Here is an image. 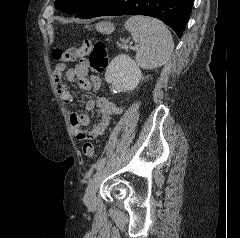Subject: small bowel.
I'll return each instance as SVG.
<instances>
[{
	"mask_svg": "<svg viewBox=\"0 0 240 238\" xmlns=\"http://www.w3.org/2000/svg\"><path fill=\"white\" fill-rule=\"evenodd\" d=\"M89 62L87 59H81L74 67H68L60 63L54 70V81L58 95L62 102L70 108L75 107V98L69 91L65 80L74 83L78 82L81 89L89 91L98 90L101 87V79L98 76H88ZM97 107L101 114V120L98 123L91 124L90 117L87 114H79L75 111L70 113V124L74 137L82 140L85 137L96 138L104 134L106 128L111 123L114 116L122 113V108L117 106L107 97H98L97 99H88L85 102V110L92 111ZM90 127L89 131L84 128Z\"/></svg>",
	"mask_w": 240,
	"mask_h": 238,
	"instance_id": "obj_1",
	"label": "small bowel"
}]
</instances>
